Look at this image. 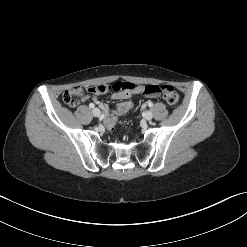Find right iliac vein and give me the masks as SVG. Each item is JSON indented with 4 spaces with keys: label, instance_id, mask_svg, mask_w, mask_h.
Returning <instances> with one entry per match:
<instances>
[{
    "label": "right iliac vein",
    "instance_id": "1",
    "mask_svg": "<svg viewBox=\"0 0 247 247\" xmlns=\"http://www.w3.org/2000/svg\"><path fill=\"white\" fill-rule=\"evenodd\" d=\"M92 113H93V115H94L95 117H99L100 114H101V112H100V110H99L98 108H94V109L92 110Z\"/></svg>",
    "mask_w": 247,
    "mask_h": 247
}]
</instances>
